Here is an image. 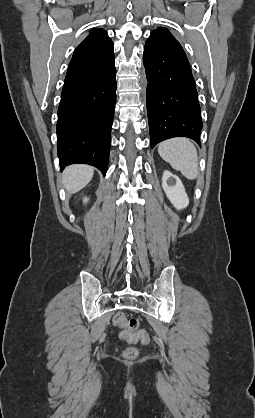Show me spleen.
Wrapping results in <instances>:
<instances>
[{
    "instance_id": "3e777b00",
    "label": "spleen",
    "mask_w": 255,
    "mask_h": 418,
    "mask_svg": "<svg viewBox=\"0 0 255 418\" xmlns=\"http://www.w3.org/2000/svg\"><path fill=\"white\" fill-rule=\"evenodd\" d=\"M158 153L187 179L194 180L198 177V156L191 140L184 137L168 139L159 144Z\"/></svg>"
}]
</instances>
